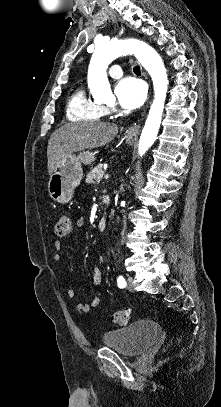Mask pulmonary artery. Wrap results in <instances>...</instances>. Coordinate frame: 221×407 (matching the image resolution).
<instances>
[{"mask_svg":"<svg viewBox=\"0 0 221 407\" xmlns=\"http://www.w3.org/2000/svg\"><path fill=\"white\" fill-rule=\"evenodd\" d=\"M109 75L113 78H119L123 75V71L120 65H112L109 69Z\"/></svg>","mask_w":221,"mask_h":407,"instance_id":"e3ab8cb5","label":"pulmonary artery"}]
</instances>
